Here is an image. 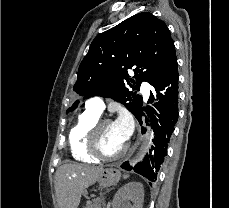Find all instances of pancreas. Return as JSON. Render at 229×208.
<instances>
[{"mask_svg": "<svg viewBox=\"0 0 229 208\" xmlns=\"http://www.w3.org/2000/svg\"><path fill=\"white\" fill-rule=\"evenodd\" d=\"M100 196H103V194H100ZM84 208H105L104 198H95V200L87 202Z\"/></svg>", "mask_w": 229, "mask_h": 208, "instance_id": "obj_1", "label": "pancreas"}]
</instances>
